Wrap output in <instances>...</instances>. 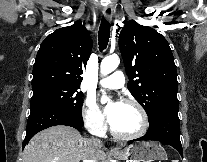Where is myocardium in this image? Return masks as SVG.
I'll return each mask as SVG.
<instances>
[{"instance_id": "obj_1", "label": "myocardium", "mask_w": 207, "mask_h": 162, "mask_svg": "<svg viewBox=\"0 0 207 162\" xmlns=\"http://www.w3.org/2000/svg\"><path fill=\"white\" fill-rule=\"evenodd\" d=\"M120 103L131 104V105L135 106L141 114L142 125H141L140 129L134 133L123 134V133H120L117 130H115L114 127L112 126V124L110 123V131H111L112 135L116 138H119V139H135V138L142 136L147 131V129L149 127V117H148V113H147L146 109L138 100L131 98V97L122 99Z\"/></svg>"}]
</instances>
